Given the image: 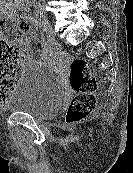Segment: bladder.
I'll return each instance as SVG.
<instances>
[{
  "instance_id": "1",
  "label": "bladder",
  "mask_w": 133,
  "mask_h": 173,
  "mask_svg": "<svg viewBox=\"0 0 133 173\" xmlns=\"http://www.w3.org/2000/svg\"><path fill=\"white\" fill-rule=\"evenodd\" d=\"M65 95V85L51 66L34 63L24 68L4 104V110L27 113L35 118H52Z\"/></svg>"
}]
</instances>
